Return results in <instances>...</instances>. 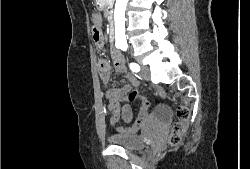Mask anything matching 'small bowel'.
Wrapping results in <instances>:
<instances>
[{
  "label": "small bowel",
  "mask_w": 250,
  "mask_h": 169,
  "mask_svg": "<svg viewBox=\"0 0 250 169\" xmlns=\"http://www.w3.org/2000/svg\"><path fill=\"white\" fill-rule=\"evenodd\" d=\"M99 18V17H98ZM100 24V18H99ZM98 49H102V45H96ZM113 65L117 72L125 73L126 72V64L123 56L116 50H112L111 52ZM98 70L101 76V79L104 85L107 87L105 92V97L109 103H124L121 107L122 109V118L126 122L132 121V111L129 106V103L133 102L129 98H127V93L129 91L136 90L140 86L139 80L133 75H127L124 80H122L118 85L109 86L111 82V69L109 63L105 60H101L98 63ZM112 108H110L111 110ZM118 121V120H117Z\"/></svg>",
  "instance_id": "1"
}]
</instances>
